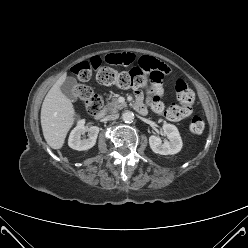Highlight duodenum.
I'll return each instance as SVG.
<instances>
[{
    "label": "duodenum",
    "instance_id": "410a0bca",
    "mask_svg": "<svg viewBox=\"0 0 248 248\" xmlns=\"http://www.w3.org/2000/svg\"><path fill=\"white\" fill-rule=\"evenodd\" d=\"M134 108H135V110H136L137 112H139V113H144V112H145L144 108H142V106L139 105L138 103H136V104L134 105ZM103 116H104V111H103V110H100V111H98L97 113L94 114V118H95V119H98V120H99V119H102Z\"/></svg>",
    "mask_w": 248,
    "mask_h": 248
}]
</instances>
